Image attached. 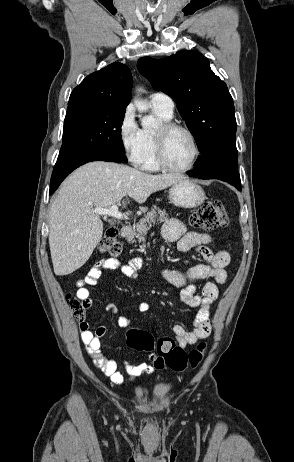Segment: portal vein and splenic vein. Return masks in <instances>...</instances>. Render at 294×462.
Returning <instances> with one entry per match:
<instances>
[{
	"label": "portal vein and splenic vein",
	"mask_w": 294,
	"mask_h": 462,
	"mask_svg": "<svg viewBox=\"0 0 294 462\" xmlns=\"http://www.w3.org/2000/svg\"><path fill=\"white\" fill-rule=\"evenodd\" d=\"M119 204H113L110 208H95L94 212L100 216H110L115 219H123V214L118 209Z\"/></svg>",
	"instance_id": "obj_1"
}]
</instances>
